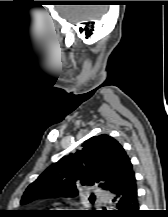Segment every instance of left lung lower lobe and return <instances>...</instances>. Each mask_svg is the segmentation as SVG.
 Segmentation results:
<instances>
[{
	"instance_id": "1",
	"label": "left lung lower lobe",
	"mask_w": 168,
	"mask_h": 217,
	"mask_svg": "<svg viewBox=\"0 0 168 217\" xmlns=\"http://www.w3.org/2000/svg\"><path fill=\"white\" fill-rule=\"evenodd\" d=\"M112 202L116 210L104 212L113 217H137L139 214L137 200V186L134 172L129 175L127 181L118 189L111 192Z\"/></svg>"
}]
</instances>
